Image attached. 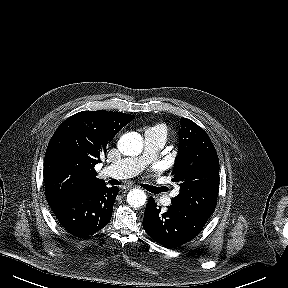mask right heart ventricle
Returning a JSON list of instances; mask_svg holds the SVG:
<instances>
[{
    "instance_id": "e07e8e85",
    "label": "right heart ventricle",
    "mask_w": 288,
    "mask_h": 288,
    "mask_svg": "<svg viewBox=\"0 0 288 288\" xmlns=\"http://www.w3.org/2000/svg\"><path fill=\"white\" fill-rule=\"evenodd\" d=\"M155 127L163 129V131L165 132V135H167V128L164 125H158V126H155Z\"/></svg>"
}]
</instances>
